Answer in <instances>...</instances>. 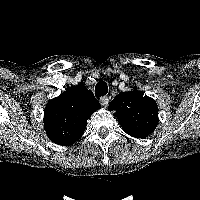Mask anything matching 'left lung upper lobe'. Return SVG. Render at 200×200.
<instances>
[{"mask_svg": "<svg viewBox=\"0 0 200 200\" xmlns=\"http://www.w3.org/2000/svg\"><path fill=\"white\" fill-rule=\"evenodd\" d=\"M108 109L114 111L123 130L130 136L145 138L158 124V108L154 99L142 91H130L117 95Z\"/></svg>", "mask_w": 200, "mask_h": 200, "instance_id": "left-lung-upper-lobe-1", "label": "left lung upper lobe"}]
</instances>
